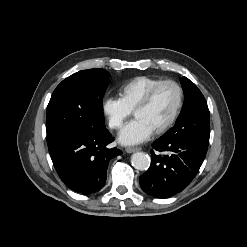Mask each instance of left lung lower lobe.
<instances>
[{"instance_id": "0a47b994", "label": "left lung lower lobe", "mask_w": 247, "mask_h": 247, "mask_svg": "<svg viewBox=\"0 0 247 247\" xmlns=\"http://www.w3.org/2000/svg\"><path fill=\"white\" fill-rule=\"evenodd\" d=\"M150 168L140 176L142 190L163 198L182 191L193 180L206 156L208 143L190 138H162L153 142ZM154 151L166 152L162 156Z\"/></svg>"}]
</instances>
